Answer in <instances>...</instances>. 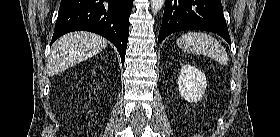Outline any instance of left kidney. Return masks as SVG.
I'll return each mask as SVG.
<instances>
[{
    "instance_id": "obj_1",
    "label": "left kidney",
    "mask_w": 280,
    "mask_h": 137,
    "mask_svg": "<svg viewBox=\"0 0 280 137\" xmlns=\"http://www.w3.org/2000/svg\"><path fill=\"white\" fill-rule=\"evenodd\" d=\"M181 96L188 102H197L204 95L207 81L204 73L196 67L186 64L181 68L178 77Z\"/></svg>"
}]
</instances>
